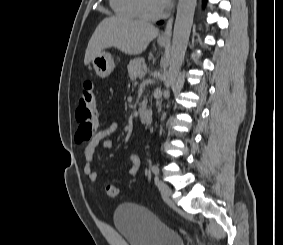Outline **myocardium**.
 Wrapping results in <instances>:
<instances>
[{
    "label": "myocardium",
    "instance_id": "f54148a6",
    "mask_svg": "<svg viewBox=\"0 0 283 245\" xmlns=\"http://www.w3.org/2000/svg\"><path fill=\"white\" fill-rule=\"evenodd\" d=\"M136 6L139 12V15L142 18L147 19V20H155V19L161 18L162 16H164L166 12V8H163L162 10L158 12L147 11L146 8L144 7L143 0H136Z\"/></svg>",
    "mask_w": 283,
    "mask_h": 245
}]
</instances>
